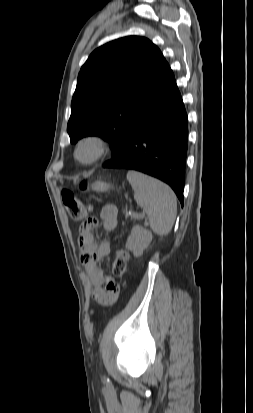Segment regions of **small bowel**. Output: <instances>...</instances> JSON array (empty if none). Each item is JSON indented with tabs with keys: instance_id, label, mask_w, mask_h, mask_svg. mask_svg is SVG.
I'll list each match as a JSON object with an SVG mask.
<instances>
[{
	"instance_id": "small-bowel-1",
	"label": "small bowel",
	"mask_w": 253,
	"mask_h": 413,
	"mask_svg": "<svg viewBox=\"0 0 253 413\" xmlns=\"http://www.w3.org/2000/svg\"><path fill=\"white\" fill-rule=\"evenodd\" d=\"M100 218L104 231L112 232L116 229L118 211L115 206L111 204L103 206ZM96 224V219L91 218L80 226L78 234L79 253L87 276L93 286L94 299L102 303L104 309H111L120 296V285L116 273H106L104 275L98 266L99 261L110 255L111 244L105 240L100 243L95 241L93 230Z\"/></svg>"
}]
</instances>
